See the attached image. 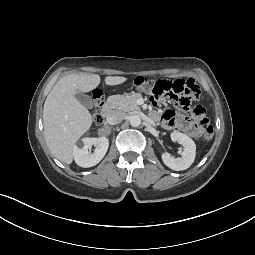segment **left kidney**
<instances>
[{"instance_id":"5707ae66","label":"left kidney","mask_w":255,"mask_h":255,"mask_svg":"<svg viewBox=\"0 0 255 255\" xmlns=\"http://www.w3.org/2000/svg\"><path fill=\"white\" fill-rule=\"evenodd\" d=\"M173 142H178L184 147L181 157L175 158L168 152L162 154V161L166 166L175 171L186 170L195 160L196 145L195 142L187 135L174 131L170 135Z\"/></svg>"}]
</instances>
